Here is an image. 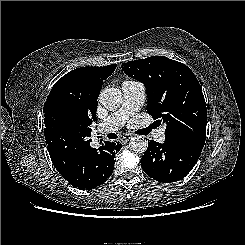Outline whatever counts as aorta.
I'll list each match as a JSON object with an SVG mask.
<instances>
[{
    "label": "aorta",
    "instance_id": "762f6f07",
    "mask_svg": "<svg viewBox=\"0 0 245 245\" xmlns=\"http://www.w3.org/2000/svg\"><path fill=\"white\" fill-rule=\"evenodd\" d=\"M99 101L107 109H116L122 103V93L117 88H106L101 91ZM147 147L148 142L142 136L133 137L129 142V148L136 153H144Z\"/></svg>",
    "mask_w": 245,
    "mask_h": 245
}]
</instances>
